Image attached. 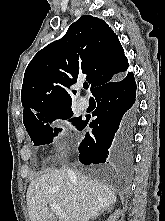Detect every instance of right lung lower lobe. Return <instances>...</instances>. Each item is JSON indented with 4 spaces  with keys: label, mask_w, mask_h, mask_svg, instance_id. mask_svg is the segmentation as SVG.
<instances>
[{
    "label": "right lung lower lobe",
    "mask_w": 165,
    "mask_h": 221,
    "mask_svg": "<svg viewBox=\"0 0 165 221\" xmlns=\"http://www.w3.org/2000/svg\"><path fill=\"white\" fill-rule=\"evenodd\" d=\"M93 95L97 118L89 124L93 131L87 133L79 146V160L85 165L109 163L118 168L132 161L134 118L129 109L135 102L136 82L129 72L120 79L99 87ZM86 119L79 130L85 128Z\"/></svg>",
    "instance_id": "obj_1"
}]
</instances>
